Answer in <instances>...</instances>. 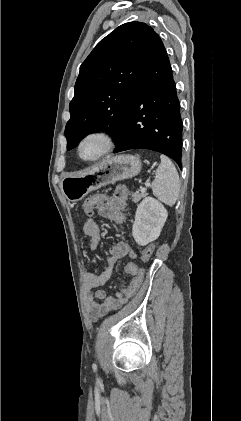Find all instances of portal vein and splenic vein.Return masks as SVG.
Segmentation results:
<instances>
[{
    "label": "portal vein and splenic vein",
    "instance_id": "1",
    "mask_svg": "<svg viewBox=\"0 0 241 421\" xmlns=\"http://www.w3.org/2000/svg\"><path fill=\"white\" fill-rule=\"evenodd\" d=\"M150 179H151V177H149V178H148V180H147V182H146V184H145V187H142V188H141V192H142V193H145V192H146L147 187L150 185Z\"/></svg>",
    "mask_w": 241,
    "mask_h": 421
}]
</instances>
